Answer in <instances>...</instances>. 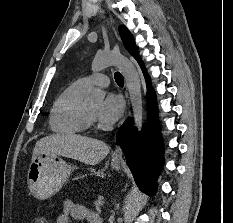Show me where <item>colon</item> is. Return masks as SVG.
I'll list each match as a JSON object with an SVG mask.
<instances>
[{"label":"colon","mask_w":233,"mask_h":223,"mask_svg":"<svg viewBox=\"0 0 233 223\" xmlns=\"http://www.w3.org/2000/svg\"><path fill=\"white\" fill-rule=\"evenodd\" d=\"M35 223H45V220L38 218L36 219Z\"/></svg>","instance_id":"1"}]
</instances>
